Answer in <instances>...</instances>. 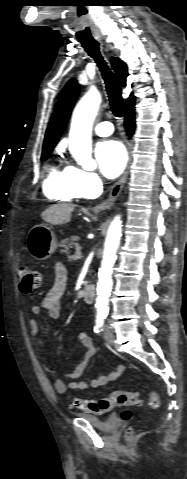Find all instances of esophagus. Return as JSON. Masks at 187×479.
Segmentation results:
<instances>
[{"instance_id": "obj_1", "label": "esophagus", "mask_w": 187, "mask_h": 479, "mask_svg": "<svg viewBox=\"0 0 187 479\" xmlns=\"http://www.w3.org/2000/svg\"><path fill=\"white\" fill-rule=\"evenodd\" d=\"M130 162H131V144L128 143V163H127V166H126L121 178L111 187L108 198L105 201L101 202L100 204H98V205H96L92 208V211L94 213H98L102 210L109 209L113 205V203L115 202V200L119 196L122 188L124 187V185L127 181Z\"/></svg>"}]
</instances>
